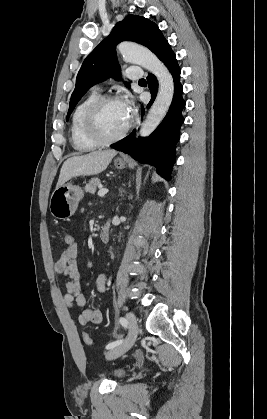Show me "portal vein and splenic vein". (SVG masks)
Here are the masks:
<instances>
[{"mask_svg": "<svg viewBox=\"0 0 267 419\" xmlns=\"http://www.w3.org/2000/svg\"><path fill=\"white\" fill-rule=\"evenodd\" d=\"M107 193H108V190L107 189L100 188V190L98 191V196L103 197Z\"/></svg>", "mask_w": 267, "mask_h": 419, "instance_id": "obj_1", "label": "portal vein and splenic vein"}]
</instances>
